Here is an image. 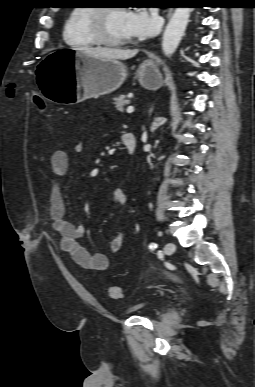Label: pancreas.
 Returning a JSON list of instances; mask_svg holds the SVG:
<instances>
[{
    "mask_svg": "<svg viewBox=\"0 0 255 387\" xmlns=\"http://www.w3.org/2000/svg\"><path fill=\"white\" fill-rule=\"evenodd\" d=\"M114 101L116 109L120 112H123L124 107L130 103V100L126 99V96L123 94L115 97Z\"/></svg>",
    "mask_w": 255,
    "mask_h": 387,
    "instance_id": "obj_1",
    "label": "pancreas"
}]
</instances>
